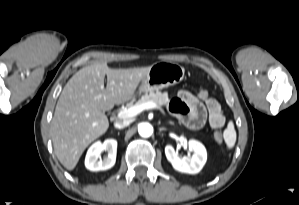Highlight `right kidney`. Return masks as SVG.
Returning a JSON list of instances; mask_svg holds the SVG:
<instances>
[{"mask_svg":"<svg viewBox=\"0 0 299 205\" xmlns=\"http://www.w3.org/2000/svg\"><path fill=\"white\" fill-rule=\"evenodd\" d=\"M107 151L108 156L103 160L101 153ZM117 141L107 139L103 143L95 142L90 146L85 158V166L90 171L107 170L114 166L116 161Z\"/></svg>","mask_w":299,"mask_h":205,"instance_id":"obj_1","label":"right kidney"}]
</instances>
